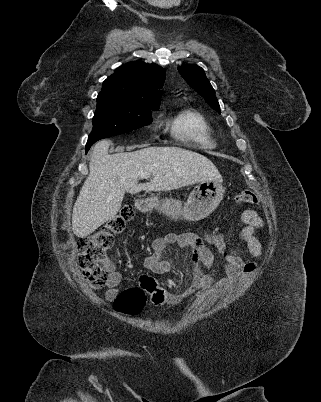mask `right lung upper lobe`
Masks as SVG:
<instances>
[{
	"mask_svg": "<svg viewBox=\"0 0 321 402\" xmlns=\"http://www.w3.org/2000/svg\"><path fill=\"white\" fill-rule=\"evenodd\" d=\"M165 79L162 67L132 61L118 67L104 82L99 97L122 99L136 104L157 105Z\"/></svg>",
	"mask_w": 321,
	"mask_h": 402,
	"instance_id": "cb5924a9",
	"label": "right lung upper lobe"
}]
</instances>
